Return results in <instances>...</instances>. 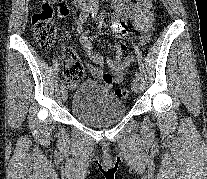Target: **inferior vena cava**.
<instances>
[{"mask_svg":"<svg viewBox=\"0 0 207 179\" xmlns=\"http://www.w3.org/2000/svg\"><path fill=\"white\" fill-rule=\"evenodd\" d=\"M78 2H83V1H85V0H77Z\"/></svg>","mask_w":207,"mask_h":179,"instance_id":"602c4592","label":"inferior vena cava"}]
</instances>
